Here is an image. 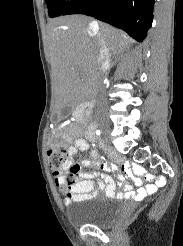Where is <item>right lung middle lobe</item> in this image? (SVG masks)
Returning <instances> with one entry per match:
<instances>
[{
    "label": "right lung middle lobe",
    "instance_id": "obj_1",
    "mask_svg": "<svg viewBox=\"0 0 183 246\" xmlns=\"http://www.w3.org/2000/svg\"><path fill=\"white\" fill-rule=\"evenodd\" d=\"M48 5V11L50 17H56L62 15L74 2L66 0H45Z\"/></svg>",
    "mask_w": 183,
    "mask_h": 246
}]
</instances>
